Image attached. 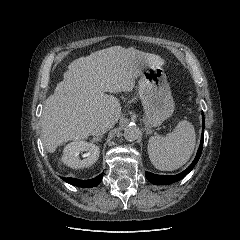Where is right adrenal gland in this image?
Returning a JSON list of instances; mask_svg holds the SVG:
<instances>
[{
	"instance_id": "1",
	"label": "right adrenal gland",
	"mask_w": 240,
	"mask_h": 240,
	"mask_svg": "<svg viewBox=\"0 0 240 240\" xmlns=\"http://www.w3.org/2000/svg\"><path fill=\"white\" fill-rule=\"evenodd\" d=\"M103 136L100 135V136H94L92 138V142H100L102 140Z\"/></svg>"
}]
</instances>
